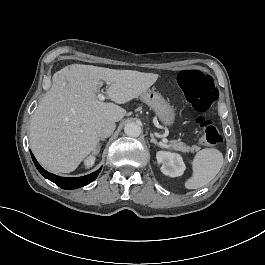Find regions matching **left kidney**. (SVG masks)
Segmentation results:
<instances>
[{
	"label": "left kidney",
	"instance_id": "obj_1",
	"mask_svg": "<svg viewBox=\"0 0 265 265\" xmlns=\"http://www.w3.org/2000/svg\"><path fill=\"white\" fill-rule=\"evenodd\" d=\"M157 162L161 164V172L170 177L181 176L186 166L180 154L168 151H158L156 154Z\"/></svg>",
	"mask_w": 265,
	"mask_h": 265
}]
</instances>
